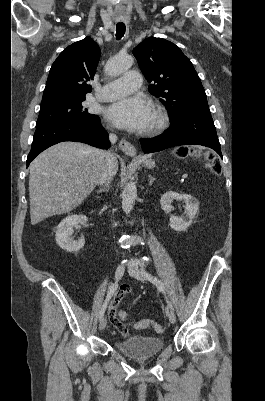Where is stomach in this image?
<instances>
[{
  "label": "stomach",
  "mask_w": 265,
  "mask_h": 401,
  "mask_svg": "<svg viewBox=\"0 0 265 401\" xmlns=\"http://www.w3.org/2000/svg\"><path fill=\"white\" fill-rule=\"evenodd\" d=\"M144 166H147V168H154L155 162L152 160V158H148V156H136Z\"/></svg>",
  "instance_id": "1"
}]
</instances>
